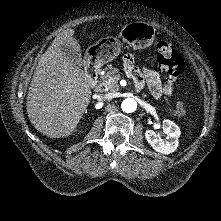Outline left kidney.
<instances>
[{"instance_id": "5707ae66", "label": "left kidney", "mask_w": 221, "mask_h": 221, "mask_svg": "<svg viewBox=\"0 0 221 221\" xmlns=\"http://www.w3.org/2000/svg\"><path fill=\"white\" fill-rule=\"evenodd\" d=\"M163 132L167 135L169 140H163L155 131L146 130L145 138L152 148L162 154H170L178 147V138L181 131L178 125L171 120H163Z\"/></svg>"}]
</instances>
